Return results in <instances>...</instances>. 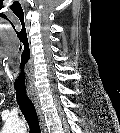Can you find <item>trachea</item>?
<instances>
[{
	"label": "trachea",
	"mask_w": 120,
	"mask_h": 133,
	"mask_svg": "<svg viewBox=\"0 0 120 133\" xmlns=\"http://www.w3.org/2000/svg\"><path fill=\"white\" fill-rule=\"evenodd\" d=\"M17 102L29 125V133H41L38 115L34 104L28 98L25 88H15Z\"/></svg>",
	"instance_id": "3493384b"
}]
</instances>
